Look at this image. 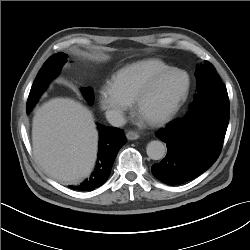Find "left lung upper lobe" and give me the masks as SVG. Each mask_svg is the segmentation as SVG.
<instances>
[{
	"instance_id": "left-lung-upper-lobe-1",
	"label": "left lung upper lobe",
	"mask_w": 250,
	"mask_h": 250,
	"mask_svg": "<svg viewBox=\"0 0 250 250\" xmlns=\"http://www.w3.org/2000/svg\"><path fill=\"white\" fill-rule=\"evenodd\" d=\"M197 85V98L201 93L208 89L223 85L215 68L208 61H204L202 66H198L195 72Z\"/></svg>"
}]
</instances>
